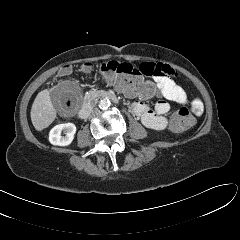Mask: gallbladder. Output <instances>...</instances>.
I'll return each mask as SVG.
<instances>
[{
    "label": "gallbladder",
    "instance_id": "bac80fb5",
    "mask_svg": "<svg viewBox=\"0 0 240 240\" xmlns=\"http://www.w3.org/2000/svg\"><path fill=\"white\" fill-rule=\"evenodd\" d=\"M69 86V83L68 82H65L61 85H59L58 87H56L55 89L52 90L51 92V98H52V102L53 104L56 106V101L54 100L55 99V95H57L58 93H60V91H65L67 89V87ZM60 109V108H59Z\"/></svg>",
    "mask_w": 240,
    "mask_h": 240
}]
</instances>
